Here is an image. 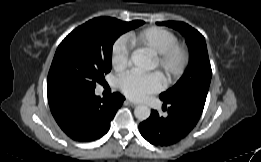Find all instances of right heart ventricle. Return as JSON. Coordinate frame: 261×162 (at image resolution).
<instances>
[{"mask_svg":"<svg viewBox=\"0 0 261 162\" xmlns=\"http://www.w3.org/2000/svg\"><path fill=\"white\" fill-rule=\"evenodd\" d=\"M126 40L138 49H146L153 54L160 53L178 43L174 33L162 27H148L139 31L130 32Z\"/></svg>","mask_w":261,"mask_h":162,"instance_id":"right-heart-ventricle-1","label":"right heart ventricle"}]
</instances>
